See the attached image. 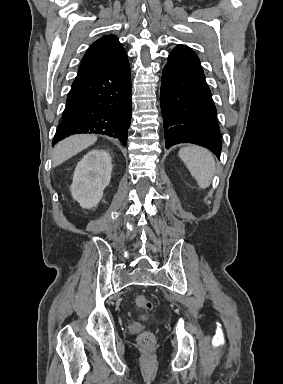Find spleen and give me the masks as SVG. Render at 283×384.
<instances>
[{
    "instance_id": "1",
    "label": "spleen",
    "mask_w": 283,
    "mask_h": 384,
    "mask_svg": "<svg viewBox=\"0 0 283 384\" xmlns=\"http://www.w3.org/2000/svg\"><path fill=\"white\" fill-rule=\"evenodd\" d=\"M179 156L198 186L203 190L209 188L216 172L215 160L211 152L199 146H188L179 150Z\"/></svg>"
}]
</instances>
